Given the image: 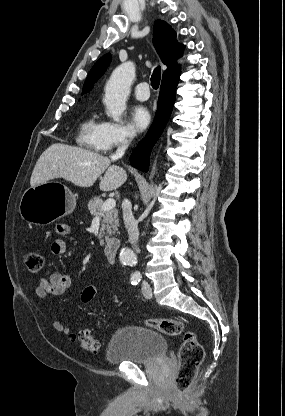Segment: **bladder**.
<instances>
[{
  "label": "bladder",
  "mask_w": 285,
  "mask_h": 416,
  "mask_svg": "<svg viewBox=\"0 0 285 416\" xmlns=\"http://www.w3.org/2000/svg\"><path fill=\"white\" fill-rule=\"evenodd\" d=\"M162 355H167V342L162 334L145 326L127 325L112 334L107 359L109 364L152 363Z\"/></svg>",
  "instance_id": "1"
}]
</instances>
